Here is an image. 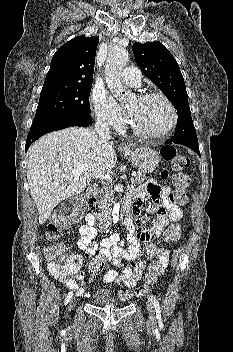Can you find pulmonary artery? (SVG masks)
Here are the masks:
<instances>
[{
  "instance_id": "obj_1",
  "label": "pulmonary artery",
  "mask_w": 233,
  "mask_h": 352,
  "mask_svg": "<svg viewBox=\"0 0 233 352\" xmlns=\"http://www.w3.org/2000/svg\"><path fill=\"white\" fill-rule=\"evenodd\" d=\"M122 80L133 87H139L141 84V72L136 67H127L121 72Z\"/></svg>"
}]
</instances>
